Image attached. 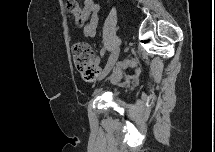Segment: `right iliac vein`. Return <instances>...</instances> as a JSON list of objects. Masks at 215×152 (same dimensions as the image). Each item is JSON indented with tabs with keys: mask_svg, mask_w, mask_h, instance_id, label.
Segmentation results:
<instances>
[{
	"mask_svg": "<svg viewBox=\"0 0 215 152\" xmlns=\"http://www.w3.org/2000/svg\"><path fill=\"white\" fill-rule=\"evenodd\" d=\"M119 52H120V49L117 48L113 53L112 55L110 56L106 66H105V69L101 75V78L100 80H102L103 78H105L109 73L110 71L113 69V67L115 66L116 62H117V59H118V56H119Z\"/></svg>",
	"mask_w": 215,
	"mask_h": 152,
	"instance_id": "right-iliac-vein-1",
	"label": "right iliac vein"
}]
</instances>
